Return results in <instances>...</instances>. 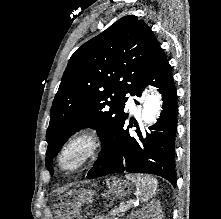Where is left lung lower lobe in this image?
<instances>
[{
  "instance_id": "obj_1",
  "label": "left lung lower lobe",
  "mask_w": 221,
  "mask_h": 219,
  "mask_svg": "<svg viewBox=\"0 0 221 219\" xmlns=\"http://www.w3.org/2000/svg\"><path fill=\"white\" fill-rule=\"evenodd\" d=\"M148 85L159 88L162 94L163 111L160 118L149 128L150 132L145 138L139 130L136 131L140 139V142H137L131 136L129 127L125 125V119L128 118V114L125 113L86 178L94 179L120 172L148 173L161 176L176 186L174 151L177 92L170 65L161 47L158 48L147 73L133 95L141 97ZM136 127L138 128L137 123Z\"/></svg>"
}]
</instances>
